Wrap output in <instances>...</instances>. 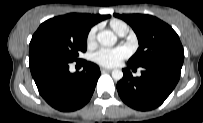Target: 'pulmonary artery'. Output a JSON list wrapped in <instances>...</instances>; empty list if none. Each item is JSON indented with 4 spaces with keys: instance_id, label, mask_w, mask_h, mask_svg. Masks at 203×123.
I'll use <instances>...</instances> for the list:
<instances>
[{
    "instance_id": "pulmonary-artery-1",
    "label": "pulmonary artery",
    "mask_w": 203,
    "mask_h": 123,
    "mask_svg": "<svg viewBox=\"0 0 203 123\" xmlns=\"http://www.w3.org/2000/svg\"><path fill=\"white\" fill-rule=\"evenodd\" d=\"M128 32V27L126 24L122 25L118 31L116 32L120 37H123L127 34Z\"/></svg>"
}]
</instances>
